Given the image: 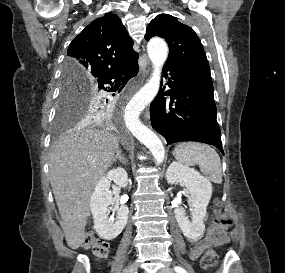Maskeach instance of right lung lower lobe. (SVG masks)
I'll return each mask as SVG.
<instances>
[{"label":"right lung lower lobe","instance_id":"98d812e1","mask_svg":"<svg viewBox=\"0 0 285 273\" xmlns=\"http://www.w3.org/2000/svg\"><path fill=\"white\" fill-rule=\"evenodd\" d=\"M139 67L137 61H134L121 68L109 71L104 75L97 77L91 84L99 90L108 92H120L127 81L136 76ZM109 85V86H106ZM114 96V93L112 94ZM111 108L104 106L100 121L106 122L111 117Z\"/></svg>","mask_w":285,"mask_h":273}]
</instances>
